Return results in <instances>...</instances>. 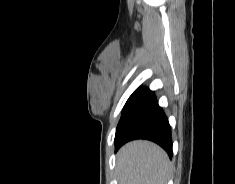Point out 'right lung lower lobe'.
Returning a JSON list of instances; mask_svg holds the SVG:
<instances>
[{
  "label": "right lung lower lobe",
  "instance_id": "1",
  "mask_svg": "<svg viewBox=\"0 0 235 184\" xmlns=\"http://www.w3.org/2000/svg\"><path fill=\"white\" fill-rule=\"evenodd\" d=\"M134 139H147L160 145L172 158L171 127L154 92L138 88L126 102L115 135V152Z\"/></svg>",
  "mask_w": 235,
  "mask_h": 184
}]
</instances>
